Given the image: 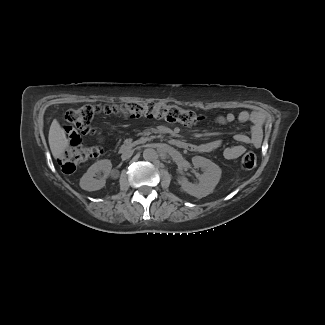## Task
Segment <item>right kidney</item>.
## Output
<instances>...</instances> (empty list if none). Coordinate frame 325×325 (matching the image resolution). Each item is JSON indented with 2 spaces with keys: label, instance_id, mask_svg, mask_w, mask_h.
Returning <instances> with one entry per match:
<instances>
[{
  "label": "right kidney",
  "instance_id": "right-kidney-1",
  "mask_svg": "<svg viewBox=\"0 0 325 325\" xmlns=\"http://www.w3.org/2000/svg\"><path fill=\"white\" fill-rule=\"evenodd\" d=\"M112 163L108 159L100 160L89 167L80 179V187L86 191H96L105 186L106 178L111 172ZM103 173V175H102Z\"/></svg>",
  "mask_w": 325,
  "mask_h": 325
}]
</instances>
